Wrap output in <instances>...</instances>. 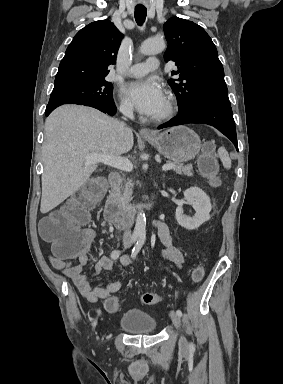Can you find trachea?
Returning <instances> with one entry per match:
<instances>
[{"label":"trachea","instance_id":"1","mask_svg":"<svg viewBox=\"0 0 283 384\" xmlns=\"http://www.w3.org/2000/svg\"><path fill=\"white\" fill-rule=\"evenodd\" d=\"M147 15L146 8L136 7L135 8V20L138 25H142L145 22Z\"/></svg>","mask_w":283,"mask_h":384}]
</instances>
